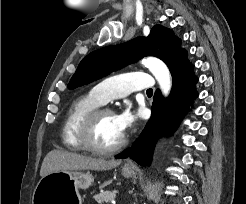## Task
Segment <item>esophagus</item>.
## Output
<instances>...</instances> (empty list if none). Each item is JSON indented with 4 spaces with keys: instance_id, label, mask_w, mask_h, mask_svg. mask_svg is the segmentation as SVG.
Returning <instances> with one entry per match:
<instances>
[{
    "instance_id": "esophagus-1",
    "label": "esophagus",
    "mask_w": 246,
    "mask_h": 204,
    "mask_svg": "<svg viewBox=\"0 0 246 204\" xmlns=\"http://www.w3.org/2000/svg\"><path fill=\"white\" fill-rule=\"evenodd\" d=\"M126 165H127V166H131V163H130V162H128Z\"/></svg>"
}]
</instances>
